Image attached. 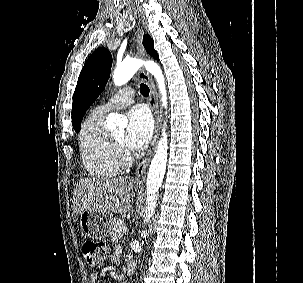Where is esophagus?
Listing matches in <instances>:
<instances>
[{"label":"esophagus","mask_w":303,"mask_h":283,"mask_svg":"<svg viewBox=\"0 0 303 283\" xmlns=\"http://www.w3.org/2000/svg\"><path fill=\"white\" fill-rule=\"evenodd\" d=\"M144 34V30L141 27L138 32L137 36V50L140 57H146V53L144 50V47L142 45V36ZM139 78L146 82L150 89V97H149V104L153 112L154 116V135L150 144V148L146 154V156L143 158V160L138 165L136 172H135V183L137 185H143L145 182V176L147 172V168L149 166L150 160L152 158L153 152L156 147V141L158 136V130H159V111H158V102H157V91L155 88V85L153 83V80L148 72H146L144 69H141L139 72Z\"/></svg>","instance_id":"1"}]
</instances>
